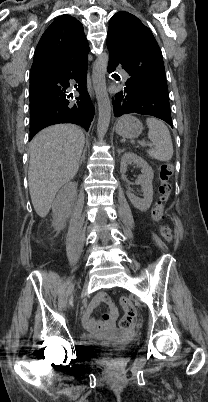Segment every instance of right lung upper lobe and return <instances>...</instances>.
Listing matches in <instances>:
<instances>
[{
  "mask_svg": "<svg viewBox=\"0 0 208 402\" xmlns=\"http://www.w3.org/2000/svg\"><path fill=\"white\" fill-rule=\"evenodd\" d=\"M88 49L82 24L70 15H61L42 35L34 52L31 72L66 68Z\"/></svg>",
  "mask_w": 208,
  "mask_h": 402,
  "instance_id": "cb5924a9",
  "label": "right lung upper lobe"
}]
</instances>
